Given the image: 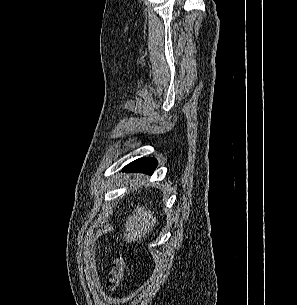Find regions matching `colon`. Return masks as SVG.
Here are the masks:
<instances>
[{
	"instance_id": "obj_1",
	"label": "colon",
	"mask_w": 297,
	"mask_h": 305,
	"mask_svg": "<svg viewBox=\"0 0 297 305\" xmlns=\"http://www.w3.org/2000/svg\"><path fill=\"white\" fill-rule=\"evenodd\" d=\"M126 274V266L123 259H116L109 272L106 287L109 291H115L122 284Z\"/></svg>"
}]
</instances>
